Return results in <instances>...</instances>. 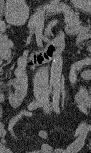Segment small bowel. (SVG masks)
I'll return each mask as SVG.
<instances>
[{
  "instance_id": "c3829d8e",
  "label": "small bowel",
  "mask_w": 91,
  "mask_h": 153,
  "mask_svg": "<svg viewBox=\"0 0 91 153\" xmlns=\"http://www.w3.org/2000/svg\"><path fill=\"white\" fill-rule=\"evenodd\" d=\"M2 25L5 26L4 24ZM9 46L10 44L1 47V56L3 58H7L10 56ZM26 70H27L26 61L23 58L19 59L16 65V69H15V78L10 83V85H12L15 90L14 92H7L5 94V97L7 98V100L12 106H15V107L19 106L25 98L26 91H27V72ZM76 103L79 109L83 113H86L90 107V97L88 93L86 92V90L83 89L82 87H79L78 89V94L76 96ZM14 124H15V121H12L11 125H14ZM90 129H91L90 124L87 121H84L78 127L76 134L74 138L72 139V141L65 148L53 150L48 144H41L38 148L32 150V152L34 153H51V152L76 153L82 147L84 140L88 132L90 131ZM6 134H7L6 130L2 128L0 130V137H1V142H2L1 152L3 153H9V149L5 145ZM40 136L42 138H45L46 133L41 132Z\"/></svg>"
}]
</instances>
